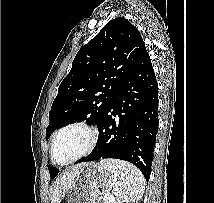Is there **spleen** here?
Here are the masks:
<instances>
[{"mask_svg":"<svg viewBox=\"0 0 214 203\" xmlns=\"http://www.w3.org/2000/svg\"><path fill=\"white\" fill-rule=\"evenodd\" d=\"M100 165L114 176L115 203H131L144 194L145 179L135 166L115 159H104Z\"/></svg>","mask_w":214,"mask_h":203,"instance_id":"obj_1","label":"spleen"}]
</instances>
